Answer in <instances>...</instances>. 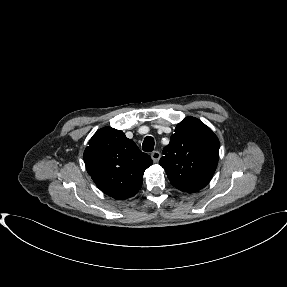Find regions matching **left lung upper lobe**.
<instances>
[{
    "mask_svg": "<svg viewBox=\"0 0 287 287\" xmlns=\"http://www.w3.org/2000/svg\"><path fill=\"white\" fill-rule=\"evenodd\" d=\"M159 164L177 189L194 193L211 180L219 157V140L195 117H186L175 128Z\"/></svg>",
    "mask_w": 287,
    "mask_h": 287,
    "instance_id": "left-lung-upper-lobe-1",
    "label": "left lung upper lobe"
}]
</instances>
